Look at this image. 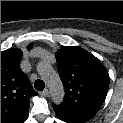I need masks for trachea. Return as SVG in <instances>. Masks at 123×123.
<instances>
[{
    "instance_id": "1",
    "label": "trachea",
    "mask_w": 123,
    "mask_h": 123,
    "mask_svg": "<svg viewBox=\"0 0 123 123\" xmlns=\"http://www.w3.org/2000/svg\"><path fill=\"white\" fill-rule=\"evenodd\" d=\"M34 87L37 91H42L45 87V83H44V81L38 79L35 81Z\"/></svg>"
}]
</instances>
